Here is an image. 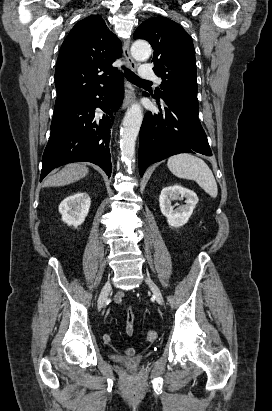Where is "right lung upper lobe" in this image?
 Returning a JSON list of instances; mask_svg holds the SVG:
<instances>
[{"mask_svg":"<svg viewBox=\"0 0 272 411\" xmlns=\"http://www.w3.org/2000/svg\"><path fill=\"white\" fill-rule=\"evenodd\" d=\"M122 55L120 42L99 15L78 22L64 40L55 70L61 108L106 86L117 75L112 63Z\"/></svg>","mask_w":272,"mask_h":411,"instance_id":"1","label":"right lung upper lobe"}]
</instances>
